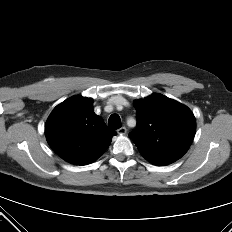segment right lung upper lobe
<instances>
[{
    "label": "right lung upper lobe",
    "instance_id": "right-lung-upper-lobe-1",
    "mask_svg": "<svg viewBox=\"0 0 232 232\" xmlns=\"http://www.w3.org/2000/svg\"><path fill=\"white\" fill-rule=\"evenodd\" d=\"M50 147L65 161L86 165L98 159L117 133L93 111L91 98L73 96L57 105L45 125Z\"/></svg>",
    "mask_w": 232,
    "mask_h": 232
}]
</instances>
